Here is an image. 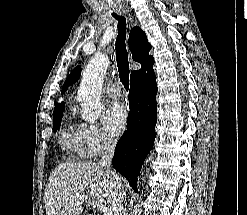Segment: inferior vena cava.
<instances>
[{
	"instance_id": "602c4592",
	"label": "inferior vena cava",
	"mask_w": 247,
	"mask_h": 215,
	"mask_svg": "<svg viewBox=\"0 0 247 215\" xmlns=\"http://www.w3.org/2000/svg\"><path fill=\"white\" fill-rule=\"evenodd\" d=\"M116 146V140L109 138L104 144V155L98 162V166L105 168L107 170L108 176L110 177L112 186L114 187L112 210L114 215H127L126 209L123 206V200L125 192L118 182L116 174L110 170L112 164V158L114 155V150Z\"/></svg>"
}]
</instances>
